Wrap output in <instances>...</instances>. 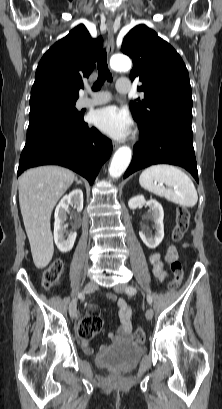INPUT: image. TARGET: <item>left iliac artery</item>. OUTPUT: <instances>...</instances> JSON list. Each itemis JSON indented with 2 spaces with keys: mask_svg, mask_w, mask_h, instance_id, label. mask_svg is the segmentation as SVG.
Returning a JSON list of instances; mask_svg holds the SVG:
<instances>
[{
  "mask_svg": "<svg viewBox=\"0 0 222 409\" xmlns=\"http://www.w3.org/2000/svg\"><path fill=\"white\" fill-rule=\"evenodd\" d=\"M136 292H137V290H136V288H134V287H128V288H126V293H127L128 295H134ZM147 301H148L149 304L152 303V298H151L150 295H147Z\"/></svg>",
  "mask_w": 222,
  "mask_h": 409,
  "instance_id": "1",
  "label": "left iliac artery"
}]
</instances>
